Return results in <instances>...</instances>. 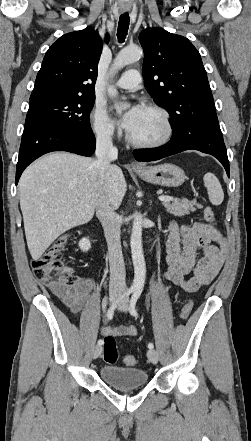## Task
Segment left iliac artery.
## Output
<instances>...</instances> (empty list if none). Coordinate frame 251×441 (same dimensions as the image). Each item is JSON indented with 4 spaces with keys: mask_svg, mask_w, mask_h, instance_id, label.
<instances>
[{
    "mask_svg": "<svg viewBox=\"0 0 251 441\" xmlns=\"http://www.w3.org/2000/svg\"><path fill=\"white\" fill-rule=\"evenodd\" d=\"M141 292H142V289H136V290L134 291V294H133L132 297H131V300H130L129 312H130V314H131L132 316H134V317H136V318H137L139 315H138V313H137V311H136V309H135V306H136V302H137L138 298H139L140 295H141ZM148 348H149V349H153V348H154L153 343H149V344H148Z\"/></svg>",
    "mask_w": 251,
    "mask_h": 441,
    "instance_id": "left-iliac-artery-1",
    "label": "left iliac artery"
}]
</instances>
